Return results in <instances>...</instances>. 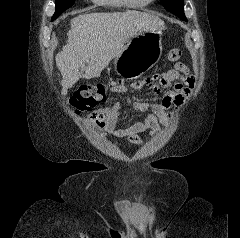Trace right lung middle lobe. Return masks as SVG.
Wrapping results in <instances>:
<instances>
[{
    "label": "right lung middle lobe",
    "mask_w": 240,
    "mask_h": 238,
    "mask_svg": "<svg viewBox=\"0 0 240 238\" xmlns=\"http://www.w3.org/2000/svg\"><path fill=\"white\" fill-rule=\"evenodd\" d=\"M75 0H56L55 13L52 17V21L55 20L62 12L70 8L74 4Z\"/></svg>",
    "instance_id": "right-lung-middle-lobe-1"
}]
</instances>
